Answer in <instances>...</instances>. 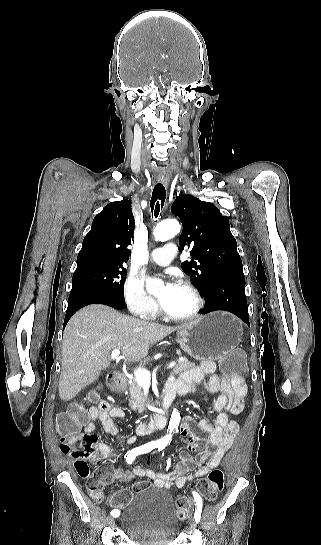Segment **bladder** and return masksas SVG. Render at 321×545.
Segmentation results:
<instances>
[{
  "label": "bladder",
  "instance_id": "bladder-1",
  "mask_svg": "<svg viewBox=\"0 0 321 545\" xmlns=\"http://www.w3.org/2000/svg\"><path fill=\"white\" fill-rule=\"evenodd\" d=\"M118 519L122 531L136 545H169L181 528L172 496L164 488L136 492Z\"/></svg>",
  "mask_w": 321,
  "mask_h": 545
}]
</instances>
